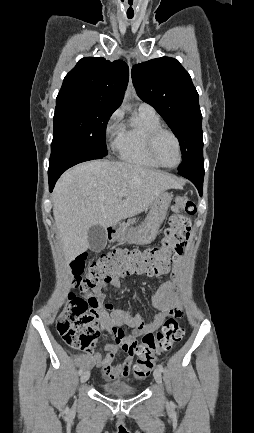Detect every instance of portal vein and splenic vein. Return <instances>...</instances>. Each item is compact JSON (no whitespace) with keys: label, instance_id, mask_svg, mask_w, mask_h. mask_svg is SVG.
I'll return each mask as SVG.
<instances>
[{"label":"portal vein and splenic vein","instance_id":"18ae733b","mask_svg":"<svg viewBox=\"0 0 254 433\" xmlns=\"http://www.w3.org/2000/svg\"><path fill=\"white\" fill-rule=\"evenodd\" d=\"M124 196H125V193H124V192H120V193H119V197H120V198H122V197H124Z\"/></svg>","mask_w":254,"mask_h":433}]
</instances>
